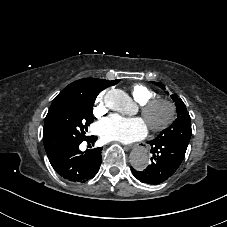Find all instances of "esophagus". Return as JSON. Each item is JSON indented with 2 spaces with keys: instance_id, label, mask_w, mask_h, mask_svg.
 I'll return each mask as SVG.
<instances>
[{
  "instance_id": "1",
  "label": "esophagus",
  "mask_w": 227,
  "mask_h": 227,
  "mask_svg": "<svg viewBox=\"0 0 227 227\" xmlns=\"http://www.w3.org/2000/svg\"><path fill=\"white\" fill-rule=\"evenodd\" d=\"M152 149V146L149 143L143 142L142 144H136L135 150L136 151H145L148 152Z\"/></svg>"
}]
</instances>
